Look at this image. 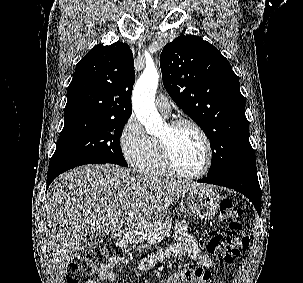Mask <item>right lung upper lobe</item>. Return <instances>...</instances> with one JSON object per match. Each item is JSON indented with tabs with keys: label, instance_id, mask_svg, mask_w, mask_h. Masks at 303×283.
Masks as SVG:
<instances>
[{
	"label": "right lung upper lobe",
	"instance_id": "cb5924a9",
	"mask_svg": "<svg viewBox=\"0 0 303 283\" xmlns=\"http://www.w3.org/2000/svg\"><path fill=\"white\" fill-rule=\"evenodd\" d=\"M134 81V60L127 44L96 45L76 65L64 118L94 115L128 119Z\"/></svg>",
	"mask_w": 303,
	"mask_h": 283
}]
</instances>
